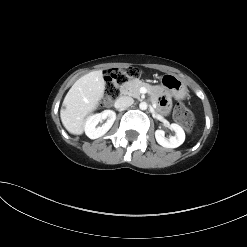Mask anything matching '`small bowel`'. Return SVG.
<instances>
[{
    "label": "small bowel",
    "mask_w": 247,
    "mask_h": 247,
    "mask_svg": "<svg viewBox=\"0 0 247 247\" xmlns=\"http://www.w3.org/2000/svg\"><path fill=\"white\" fill-rule=\"evenodd\" d=\"M160 104H161L163 107H167V105H168L167 99H166V98H161Z\"/></svg>",
    "instance_id": "small-bowel-1"
}]
</instances>
